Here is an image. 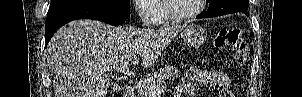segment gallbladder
I'll list each match as a JSON object with an SVG mask.
<instances>
[{
    "mask_svg": "<svg viewBox=\"0 0 302 97\" xmlns=\"http://www.w3.org/2000/svg\"><path fill=\"white\" fill-rule=\"evenodd\" d=\"M113 90H116V91H117V88H113Z\"/></svg>",
    "mask_w": 302,
    "mask_h": 97,
    "instance_id": "obj_1",
    "label": "gallbladder"
}]
</instances>
